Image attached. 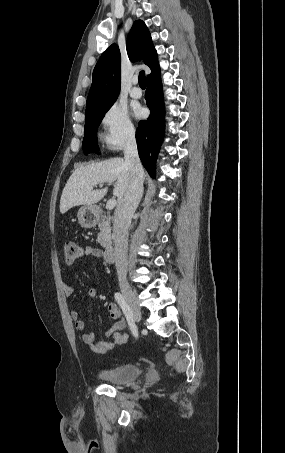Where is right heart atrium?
<instances>
[{
    "instance_id": "obj_1",
    "label": "right heart atrium",
    "mask_w": 285,
    "mask_h": 453,
    "mask_svg": "<svg viewBox=\"0 0 285 453\" xmlns=\"http://www.w3.org/2000/svg\"><path fill=\"white\" fill-rule=\"evenodd\" d=\"M101 140L105 147L112 152L119 151L135 138V127L127 109L114 103L101 118Z\"/></svg>"
}]
</instances>
